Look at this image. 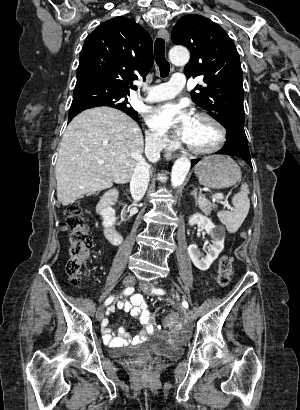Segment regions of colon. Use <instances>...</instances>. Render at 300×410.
I'll list each match as a JSON object with an SVG mask.
<instances>
[{"label": "colon", "instance_id": "5ec220e1", "mask_svg": "<svg viewBox=\"0 0 300 410\" xmlns=\"http://www.w3.org/2000/svg\"><path fill=\"white\" fill-rule=\"evenodd\" d=\"M65 221L69 229V259L66 265V272L70 284L78 286L82 278L88 275L84 262L88 257L93 242L80 205H71L66 210ZM231 276L232 260L230 256L222 255L219 261L218 284L221 287L227 286L231 281ZM166 321L168 326H172L178 322V317L175 313H171ZM139 367L142 371L149 372L152 370L153 362L150 359H144L139 363Z\"/></svg>", "mask_w": 300, "mask_h": 410}]
</instances>
